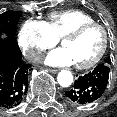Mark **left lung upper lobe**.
<instances>
[{
    "mask_svg": "<svg viewBox=\"0 0 117 117\" xmlns=\"http://www.w3.org/2000/svg\"><path fill=\"white\" fill-rule=\"evenodd\" d=\"M104 64H106V65H110V64H111V60H110V58H109V57H108V58H106V60H105Z\"/></svg>",
    "mask_w": 117,
    "mask_h": 117,
    "instance_id": "obj_1",
    "label": "left lung upper lobe"
}]
</instances>
